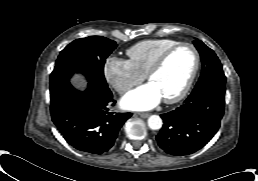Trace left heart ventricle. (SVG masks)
Returning <instances> with one entry per match:
<instances>
[{
  "instance_id": "left-heart-ventricle-1",
  "label": "left heart ventricle",
  "mask_w": 258,
  "mask_h": 181,
  "mask_svg": "<svg viewBox=\"0 0 258 181\" xmlns=\"http://www.w3.org/2000/svg\"><path fill=\"white\" fill-rule=\"evenodd\" d=\"M195 56L191 48L175 51L162 69L150 80L162 95L169 98L177 95L186 85L194 68Z\"/></svg>"
}]
</instances>
